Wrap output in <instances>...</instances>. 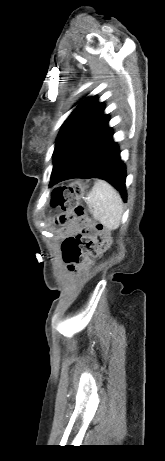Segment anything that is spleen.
<instances>
[{"mask_svg":"<svg viewBox=\"0 0 165 461\" xmlns=\"http://www.w3.org/2000/svg\"><path fill=\"white\" fill-rule=\"evenodd\" d=\"M87 203L93 217L106 228L113 230L120 226L123 202L120 194L109 183L97 180L88 194Z\"/></svg>","mask_w":165,"mask_h":461,"instance_id":"3e777b00","label":"spleen"}]
</instances>
